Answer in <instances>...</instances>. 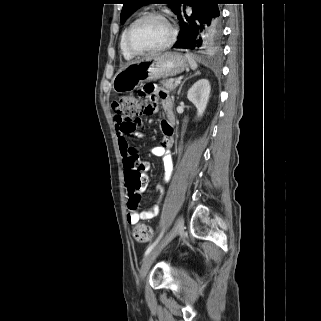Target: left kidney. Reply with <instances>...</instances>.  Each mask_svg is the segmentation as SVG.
<instances>
[{
    "label": "left kidney",
    "instance_id": "obj_1",
    "mask_svg": "<svg viewBox=\"0 0 321 321\" xmlns=\"http://www.w3.org/2000/svg\"><path fill=\"white\" fill-rule=\"evenodd\" d=\"M210 83L207 79H200L188 90L187 98L197 108V116L201 117L205 112L209 96H210Z\"/></svg>",
    "mask_w": 321,
    "mask_h": 321
}]
</instances>
